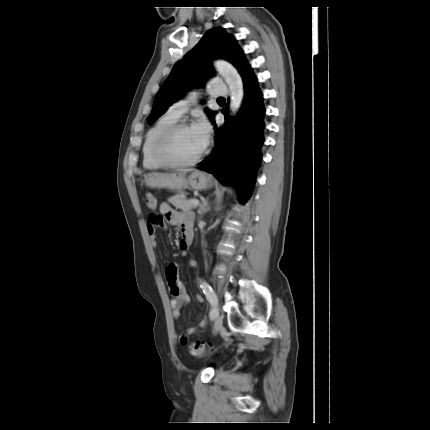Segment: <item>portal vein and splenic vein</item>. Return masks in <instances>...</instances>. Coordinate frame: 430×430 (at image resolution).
Segmentation results:
<instances>
[{
	"label": "portal vein and splenic vein",
	"instance_id": "portal-vein-and-splenic-vein-1",
	"mask_svg": "<svg viewBox=\"0 0 430 430\" xmlns=\"http://www.w3.org/2000/svg\"><path fill=\"white\" fill-rule=\"evenodd\" d=\"M191 202L193 203V205L195 206H199V200L197 199H192Z\"/></svg>",
	"mask_w": 430,
	"mask_h": 430
}]
</instances>
